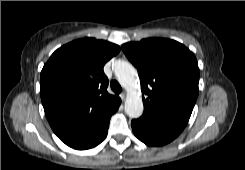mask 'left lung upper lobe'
<instances>
[{
  "label": "left lung upper lobe",
  "mask_w": 245,
  "mask_h": 170,
  "mask_svg": "<svg viewBox=\"0 0 245 170\" xmlns=\"http://www.w3.org/2000/svg\"><path fill=\"white\" fill-rule=\"evenodd\" d=\"M122 49L138 70L144 109L188 122L199 91L195 55L183 44L163 38L129 42Z\"/></svg>",
  "instance_id": "5c2ea615"
}]
</instances>
